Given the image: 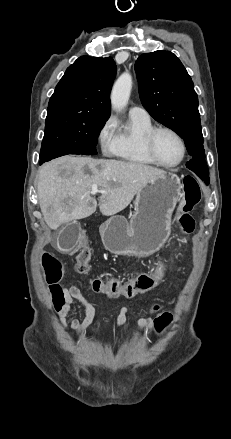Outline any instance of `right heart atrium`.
<instances>
[{
    "instance_id": "obj_1",
    "label": "right heart atrium",
    "mask_w": 231,
    "mask_h": 439,
    "mask_svg": "<svg viewBox=\"0 0 231 439\" xmlns=\"http://www.w3.org/2000/svg\"><path fill=\"white\" fill-rule=\"evenodd\" d=\"M117 122L108 117L100 126L97 138L103 154L112 155L117 146Z\"/></svg>"
}]
</instances>
